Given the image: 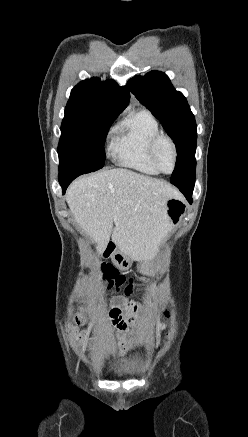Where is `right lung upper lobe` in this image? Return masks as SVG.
Wrapping results in <instances>:
<instances>
[{
  "label": "right lung upper lobe",
  "instance_id": "cb5924a9",
  "mask_svg": "<svg viewBox=\"0 0 248 437\" xmlns=\"http://www.w3.org/2000/svg\"><path fill=\"white\" fill-rule=\"evenodd\" d=\"M130 93L113 80L91 78L81 81L71 91L65 113L102 118L118 117L129 103Z\"/></svg>",
  "mask_w": 248,
  "mask_h": 437
}]
</instances>
